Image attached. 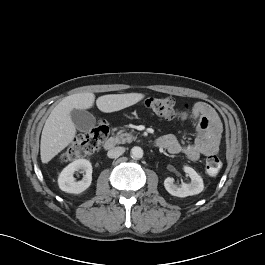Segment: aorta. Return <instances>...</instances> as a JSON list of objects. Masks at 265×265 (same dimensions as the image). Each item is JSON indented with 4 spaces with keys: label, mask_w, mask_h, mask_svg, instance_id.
Returning a JSON list of instances; mask_svg holds the SVG:
<instances>
[{
    "label": "aorta",
    "mask_w": 265,
    "mask_h": 265,
    "mask_svg": "<svg viewBox=\"0 0 265 265\" xmlns=\"http://www.w3.org/2000/svg\"><path fill=\"white\" fill-rule=\"evenodd\" d=\"M143 149L139 146H134L131 149V157L135 159H140L143 157Z\"/></svg>",
    "instance_id": "1"
}]
</instances>
